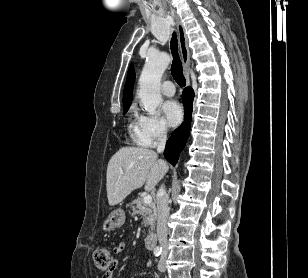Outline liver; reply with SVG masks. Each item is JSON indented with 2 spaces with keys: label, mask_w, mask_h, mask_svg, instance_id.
<instances>
[{
  "label": "liver",
  "mask_w": 308,
  "mask_h": 278,
  "mask_svg": "<svg viewBox=\"0 0 308 278\" xmlns=\"http://www.w3.org/2000/svg\"><path fill=\"white\" fill-rule=\"evenodd\" d=\"M168 164L153 150L123 147L110 159L107 167V198L110 206L121 203L133 190L145 184L151 191L168 172ZM123 172V174H121Z\"/></svg>",
  "instance_id": "6515ba94"
}]
</instances>
